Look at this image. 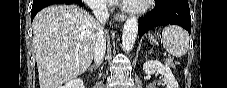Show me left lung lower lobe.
I'll return each mask as SVG.
<instances>
[{
  "label": "left lung lower lobe",
  "mask_w": 227,
  "mask_h": 88,
  "mask_svg": "<svg viewBox=\"0 0 227 88\" xmlns=\"http://www.w3.org/2000/svg\"><path fill=\"white\" fill-rule=\"evenodd\" d=\"M191 16L187 0H155L154 9L138 20L141 38L148 30L163 25L175 24L191 33Z\"/></svg>",
  "instance_id": "0a47b994"
}]
</instances>
